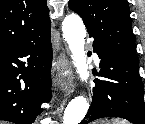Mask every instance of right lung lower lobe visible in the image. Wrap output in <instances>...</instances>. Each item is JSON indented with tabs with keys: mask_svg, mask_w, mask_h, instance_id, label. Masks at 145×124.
Masks as SVG:
<instances>
[{
	"mask_svg": "<svg viewBox=\"0 0 145 124\" xmlns=\"http://www.w3.org/2000/svg\"><path fill=\"white\" fill-rule=\"evenodd\" d=\"M51 32L0 46V120L32 124L51 98Z\"/></svg>",
	"mask_w": 145,
	"mask_h": 124,
	"instance_id": "right-lung-lower-lobe-1",
	"label": "right lung lower lobe"
}]
</instances>
